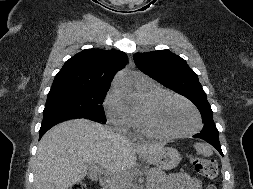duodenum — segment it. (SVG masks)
Instances as JSON below:
<instances>
[{
    "label": "duodenum",
    "mask_w": 253,
    "mask_h": 189,
    "mask_svg": "<svg viewBox=\"0 0 253 189\" xmlns=\"http://www.w3.org/2000/svg\"><path fill=\"white\" fill-rule=\"evenodd\" d=\"M102 189H112V178L105 176L101 181Z\"/></svg>",
    "instance_id": "obj_1"
}]
</instances>
